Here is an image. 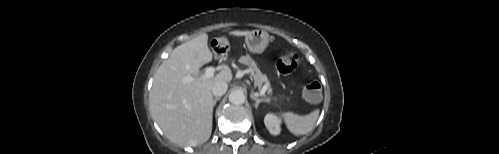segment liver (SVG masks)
Listing matches in <instances>:
<instances>
[{"instance_id":"obj_1","label":"liver","mask_w":499,"mask_h":154,"mask_svg":"<svg viewBox=\"0 0 499 154\" xmlns=\"http://www.w3.org/2000/svg\"><path fill=\"white\" fill-rule=\"evenodd\" d=\"M250 31L235 30L230 36L241 37ZM208 36L203 33L177 46L158 68L150 92V110L165 136L173 143L196 146L212 133L214 100L212 87L218 81L230 82L229 69L212 78H204L200 68L211 62ZM190 77L192 81H185Z\"/></svg>"}]
</instances>
